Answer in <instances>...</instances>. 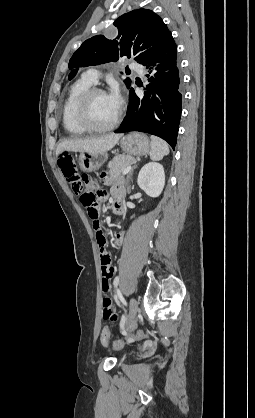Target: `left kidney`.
<instances>
[{
	"mask_svg": "<svg viewBox=\"0 0 255 418\" xmlns=\"http://www.w3.org/2000/svg\"><path fill=\"white\" fill-rule=\"evenodd\" d=\"M137 183L148 196L158 197L165 185L163 166L156 162L145 164L138 174Z\"/></svg>",
	"mask_w": 255,
	"mask_h": 418,
	"instance_id": "1",
	"label": "left kidney"
}]
</instances>
